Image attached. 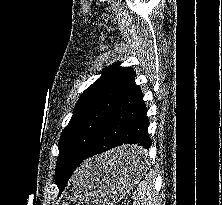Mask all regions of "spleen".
Segmentation results:
<instances>
[{
    "label": "spleen",
    "instance_id": "obj_1",
    "mask_svg": "<svg viewBox=\"0 0 222 205\" xmlns=\"http://www.w3.org/2000/svg\"><path fill=\"white\" fill-rule=\"evenodd\" d=\"M154 182L153 173L149 172L145 180L139 183L137 190L133 193L134 205H157Z\"/></svg>",
    "mask_w": 222,
    "mask_h": 205
}]
</instances>
